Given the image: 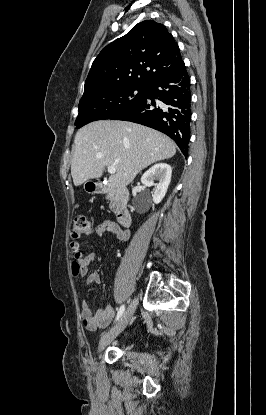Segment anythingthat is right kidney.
<instances>
[{
  "instance_id": "obj_1",
  "label": "right kidney",
  "mask_w": 266,
  "mask_h": 415,
  "mask_svg": "<svg viewBox=\"0 0 266 415\" xmlns=\"http://www.w3.org/2000/svg\"><path fill=\"white\" fill-rule=\"evenodd\" d=\"M172 168L166 163H158L147 170L141 177V182L146 187L155 186L153 202L158 204L164 198L171 181ZM154 181H158L157 184Z\"/></svg>"
}]
</instances>
